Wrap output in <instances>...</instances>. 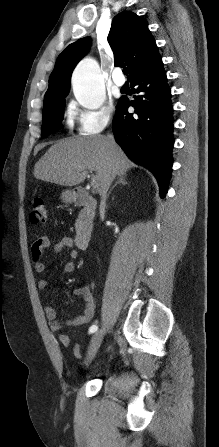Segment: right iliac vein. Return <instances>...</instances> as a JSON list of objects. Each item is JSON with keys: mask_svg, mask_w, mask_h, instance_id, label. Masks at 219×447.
<instances>
[{"mask_svg": "<svg viewBox=\"0 0 219 447\" xmlns=\"http://www.w3.org/2000/svg\"><path fill=\"white\" fill-rule=\"evenodd\" d=\"M104 333L105 328H101L92 336L84 362L86 365L89 364L95 357L97 350L100 347L101 342L103 340Z\"/></svg>", "mask_w": 219, "mask_h": 447, "instance_id": "63e3f726", "label": "right iliac vein"}]
</instances>
